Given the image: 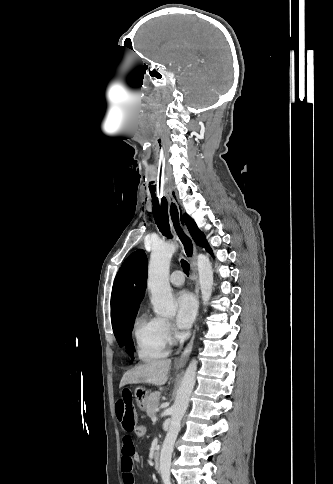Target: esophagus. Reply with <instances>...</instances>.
<instances>
[{
	"label": "esophagus",
	"instance_id": "obj_1",
	"mask_svg": "<svg viewBox=\"0 0 333 484\" xmlns=\"http://www.w3.org/2000/svg\"><path fill=\"white\" fill-rule=\"evenodd\" d=\"M168 211H169L170 223L174 231V234L176 235L181 245L182 253L191 262L192 278L195 281V297L199 307V283H198L197 264H196V246L190 234L188 233L186 227L183 224L182 211L180 210L175 198L172 195L168 196ZM195 332H196V328L186 348L183 350L181 355L175 359L174 364L176 366H183L188 361L193 348Z\"/></svg>",
	"mask_w": 333,
	"mask_h": 484
}]
</instances>
